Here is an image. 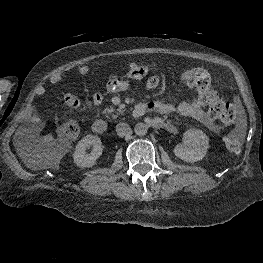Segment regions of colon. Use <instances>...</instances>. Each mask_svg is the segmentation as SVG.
Here are the masks:
<instances>
[{"label": "colon", "mask_w": 263, "mask_h": 263, "mask_svg": "<svg viewBox=\"0 0 263 263\" xmlns=\"http://www.w3.org/2000/svg\"><path fill=\"white\" fill-rule=\"evenodd\" d=\"M181 79L185 85L194 88L198 92V98L208 107V115L212 119L218 120L225 125L232 123L236 116L235 107L231 103L218 98L212 87L211 75L206 69L192 68L186 70ZM62 132L66 137L75 139L79 135L80 128L75 120L69 119L63 123ZM224 144L230 152H239L243 144L241 131L228 133L224 137Z\"/></svg>", "instance_id": "colon-1"}]
</instances>
